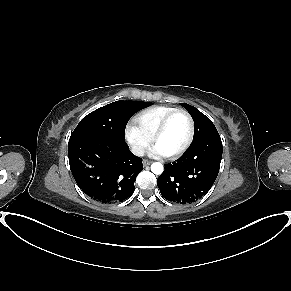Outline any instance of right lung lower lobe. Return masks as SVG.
<instances>
[{
	"label": "right lung lower lobe",
	"mask_w": 291,
	"mask_h": 291,
	"mask_svg": "<svg viewBox=\"0 0 291 291\" xmlns=\"http://www.w3.org/2000/svg\"><path fill=\"white\" fill-rule=\"evenodd\" d=\"M71 172L81 190L101 203L122 202L135 190L134 182L143 170L142 159L125 141L105 137L69 140Z\"/></svg>",
	"instance_id": "obj_1"
}]
</instances>
